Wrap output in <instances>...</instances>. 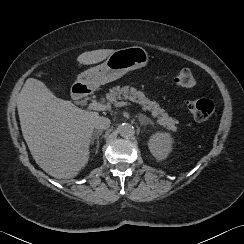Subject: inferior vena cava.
<instances>
[{"label": "inferior vena cava", "mask_w": 244, "mask_h": 244, "mask_svg": "<svg viewBox=\"0 0 244 244\" xmlns=\"http://www.w3.org/2000/svg\"><path fill=\"white\" fill-rule=\"evenodd\" d=\"M110 124V119L103 116H97L93 119V126L98 130L108 129L110 127Z\"/></svg>", "instance_id": "obj_1"}]
</instances>
